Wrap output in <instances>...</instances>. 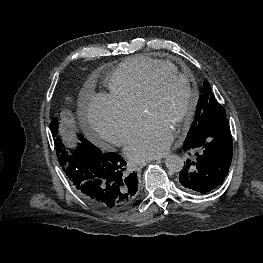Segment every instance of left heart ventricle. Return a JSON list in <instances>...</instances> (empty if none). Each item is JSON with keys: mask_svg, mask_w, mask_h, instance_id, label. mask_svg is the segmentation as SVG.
Here are the masks:
<instances>
[{"mask_svg": "<svg viewBox=\"0 0 263 263\" xmlns=\"http://www.w3.org/2000/svg\"><path fill=\"white\" fill-rule=\"evenodd\" d=\"M188 104L189 92L185 83L176 78H166L159 83L157 92L144 113L147 117L162 121L174 131Z\"/></svg>", "mask_w": 263, "mask_h": 263, "instance_id": "1", "label": "left heart ventricle"}]
</instances>
